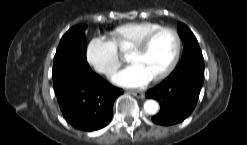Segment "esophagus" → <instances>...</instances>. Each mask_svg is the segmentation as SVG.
Masks as SVG:
<instances>
[{
	"label": "esophagus",
	"instance_id": "34e87169",
	"mask_svg": "<svg viewBox=\"0 0 247 145\" xmlns=\"http://www.w3.org/2000/svg\"><path fill=\"white\" fill-rule=\"evenodd\" d=\"M127 93L137 97V98H141L143 99L145 97L144 93L142 91H137V90H127Z\"/></svg>",
	"mask_w": 247,
	"mask_h": 145
}]
</instances>
